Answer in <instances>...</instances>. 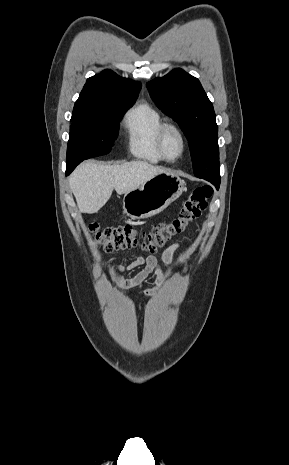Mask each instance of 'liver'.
Segmentation results:
<instances>
[{
    "label": "liver",
    "mask_w": 289,
    "mask_h": 465,
    "mask_svg": "<svg viewBox=\"0 0 289 465\" xmlns=\"http://www.w3.org/2000/svg\"><path fill=\"white\" fill-rule=\"evenodd\" d=\"M163 172L167 171L144 161L122 165L85 162L71 174L69 185L80 212L93 214L106 204L114 189L126 194Z\"/></svg>",
    "instance_id": "1"
}]
</instances>
